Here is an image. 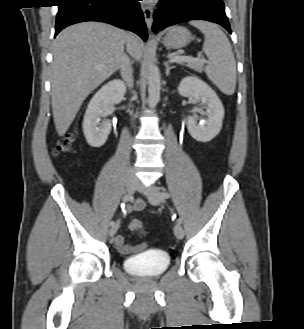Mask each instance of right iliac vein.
Here are the masks:
<instances>
[{"instance_id": "obj_1", "label": "right iliac vein", "mask_w": 304, "mask_h": 329, "mask_svg": "<svg viewBox=\"0 0 304 329\" xmlns=\"http://www.w3.org/2000/svg\"><path fill=\"white\" fill-rule=\"evenodd\" d=\"M138 187V181L134 177H128L126 180V191L128 194H133ZM119 223L116 222L109 230L110 236H114L118 230Z\"/></svg>"}]
</instances>
